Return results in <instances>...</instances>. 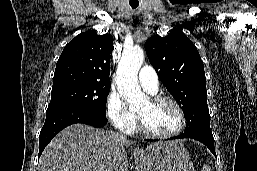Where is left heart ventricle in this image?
<instances>
[{"label": "left heart ventricle", "mask_w": 257, "mask_h": 171, "mask_svg": "<svg viewBox=\"0 0 257 171\" xmlns=\"http://www.w3.org/2000/svg\"><path fill=\"white\" fill-rule=\"evenodd\" d=\"M136 112L149 129L159 133L171 132L179 125V115L176 109L167 102L152 104L147 100Z\"/></svg>", "instance_id": "obj_1"}]
</instances>
